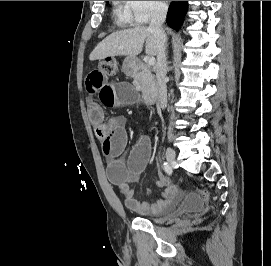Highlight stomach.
<instances>
[{"mask_svg": "<svg viewBox=\"0 0 271 266\" xmlns=\"http://www.w3.org/2000/svg\"><path fill=\"white\" fill-rule=\"evenodd\" d=\"M136 63H137V60L135 57H127L124 60V64H123L124 69L126 71H131L134 68V66L136 65Z\"/></svg>", "mask_w": 271, "mask_h": 266, "instance_id": "0dacf381", "label": "stomach"}]
</instances>
